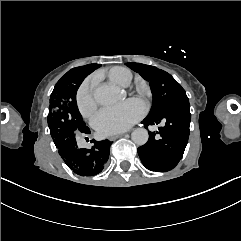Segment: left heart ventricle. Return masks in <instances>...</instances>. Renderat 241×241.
<instances>
[{
	"mask_svg": "<svg viewBox=\"0 0 241 241\" xmlns=\"http://www.w3.org/2000/svg\"><path fill=\"white\" fill-rule=\"evenodd\" d=\"M141 95H142V96L145 95V91H144V90L141 91Z\"/></svg>",
	"mask_w": 241,
	"mask_h": 241,
	"instance_id": "left-heart-ventricle-1",
	"label": "left heart ventricle"
}]
</instances>
